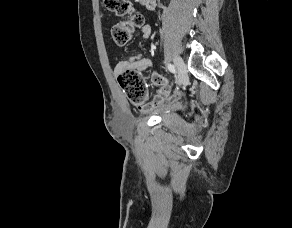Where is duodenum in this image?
Instances as JSON below:
<instances>
[{
  "mask_svg": "<svg viewBox=\"0 0 292 228\" xmlns=\"http://www.w3.org/2000/svg\"><path fill=\"white\" fill-rule=\"evenodd\" d=\"M141 3L145 5V7L149 10H152L156 7L157 0H139Z\"/></svg>",
  "mask_w": 292,
  "mask_h": 228,
  "instance_id": "duodenum-1",
  "label": "duodenum"
}]
</instances>
